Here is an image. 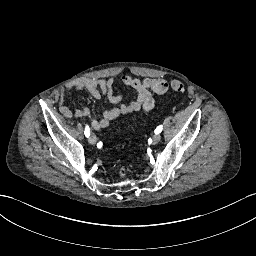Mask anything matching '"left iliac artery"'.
<instances>
[{
  "mask_svg": "<svg viewBox=\"0 0 256 256\" xmlns=\"http://www.w3.org/2000/svg\"><path fill=\"white\" fill-rule=\"evenodd\" d=\"M163 127L162 125H159L156 129H155V134H159L162 131Z\"/></svg>",
  "mask_w": 256,
  "mask_h": 256,
  "instance_id": "obj_1",
  "label": "left iliac artery"
}]
</instances>
